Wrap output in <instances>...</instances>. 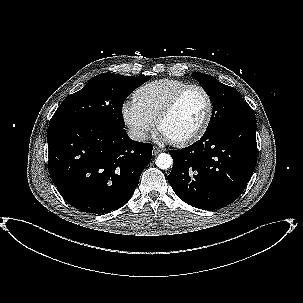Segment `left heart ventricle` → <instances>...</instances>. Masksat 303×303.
Returning a JSON list of instances; mask_svg holds the SVG:
<instances>
[{"label":"left heart ventricle","instance_id":"1","mask_svg":"<svg viewBox=\"0 0 303 303\" xmlns=\"http://www.w3.org/2000/svg\"><path fill=\"white\" fill-rule=\"evenodd\" d=\"M207 110L204 95L196 89L187 92L175 111L163 122L161 131L171 140L185 138L194 133L202 123Z\"/></svg>","mask_w":303,"mask_h":303}]
</instances>
